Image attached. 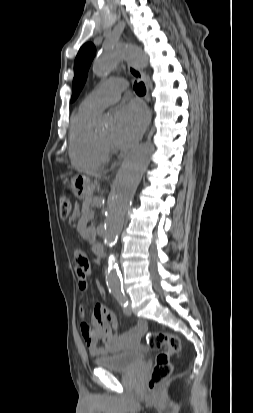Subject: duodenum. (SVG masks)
<instances>
[{
    "label": "duodenum",
    "instance_id": "obj_1",
    "mask_svg": "<svg viewBox=\"0 0 253 413\" xmlns=\"http://www.w3.org/2000/svg\"><path fill=\"white\" fill-rule=\"evenodd\" d=\"M92 252L94 253V255L100 258L105 255L104 247L99 243H96L92 246Z\"/></svg>",
    "mask_w": 253,
    "mask_h": 413
}]
</instances>
